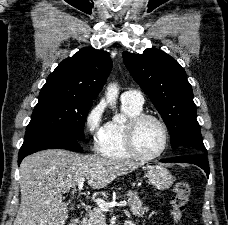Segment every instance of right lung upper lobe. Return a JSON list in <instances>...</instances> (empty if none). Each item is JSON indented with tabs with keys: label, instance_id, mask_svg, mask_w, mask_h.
<instances>
[{
	"label": "right lung upper lobe",
	"instance_id": "right-lung-upper-lobe-1",
	"mask_svg": "<svg viewBox=\"0 0 228 225\" xmlns=\"http://www.w3.org/2000/svg\"><path fill=\"white\" fill-rule=\"evenodd\" d=\"M111 68L108 52L82 48L56 67L43 89H60L93 100L105 84Z\"/></svg>",
	"mask_w": 228,
	"mask_h": 225
}]
</instances>
